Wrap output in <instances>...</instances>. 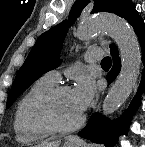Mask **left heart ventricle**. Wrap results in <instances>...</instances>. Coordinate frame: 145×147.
I'll list each match as a JSON object with an SVG mask.
<instances>
[{
  "label": "left heart ventricle",
  "mask_w": 145,
  "mask_h": 147,
  "mask_svg": "<svg viewBox=\"0 0 145 147\" xmlns=\"http://www.w3.org/2000/svg\"><path fill=\"white\" fill-rule=\"evenodd\" d=\"M52 112L55 119L65 126L74 124L82 115L73 99L71 90L61 94L54 101Z\"/></svg>",
  "instance_id": "1"
}]
</instances>
